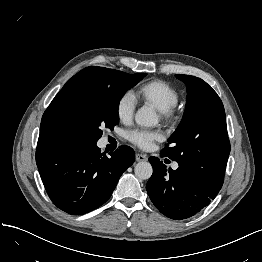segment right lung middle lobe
Segmentation results:
<instances>
[{
    "label": "right lung middle lobe",
    "mask_w": 262,
    "mask_h": 262,
    "mask_svg": "<svg viewBox=\"0 0 262 262\" xmlns=\"http://www.w3.org/2000/svg\"><path fill=\"white\" fill-rule=\"evenodd\" d=\"M145 76L113 69L73 76L49 113L53 130L58 135L97 143L103 127L112 130L119 123L122 96Z\"/></svg>",
    "instance_id": "obj_1"
}]
</instances>
